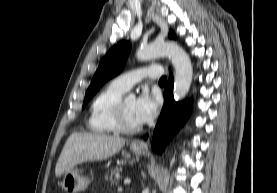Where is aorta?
Segmentation results:
<instances>
[{"mask_svg": "<svg viewBox=\"0 0 277 193\" xmlns=\"http://www.w3.org/2000/svg\"><path fill=\"white\" fill-rule=\"evenodd\" d=\"M163 56H168L175 68L173 94L174 99L179 101L188 93L192 82L193 68L187 53L173 42H154L139 48L136 52V57L140 61ZM129 98H134V94H130Z\"/></svg>", "mask_w": 277, "mask_h": 193, "instance_id": "obj_1", "label": "aorta"}]
</instances>
